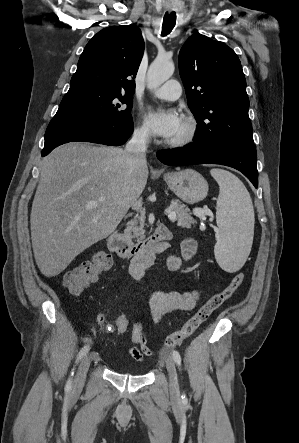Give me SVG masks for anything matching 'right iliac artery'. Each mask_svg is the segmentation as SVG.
<instances>
[{
	"label": "right iliac artery",
	"instance_id": "right-iliac-artery-1",
	"mask_svg": "<svg viewBox=\"0 0 299 443\" xmlns=\"http://www.w3.org/2000/svg\"><path fill=\"white\" fill-rule=\"evenodd\" d=\"M89 349H90L89 345H85L78 353L76 362H79L88 353ZM72 376H73V371H72L71 377L68 379L67 384H66L67 390L71 389Z\"/></svg>",
	"mask_w": 299,
	"mask_h": 443
}]
</instances>
